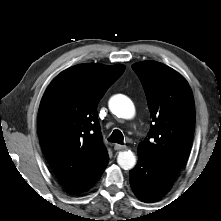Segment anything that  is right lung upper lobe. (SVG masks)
<instances>
[{"mask_svg": "<svg viewBox=\"0 0 221 221\" xmlns=\"http://www.w3.org/2000/svg\"><path fill=\"white\" fill-rule=\"evenodd\" d=\"M124 70L122 65H76L54 78L43 95L38 114L41 148L70 191L90 186L108 164L97 105Z\"/></svg>", "mask_w": 221, "mask_h": 221, "instance_id": "1", "label": "right lung upper lobe"}]
</instances>
